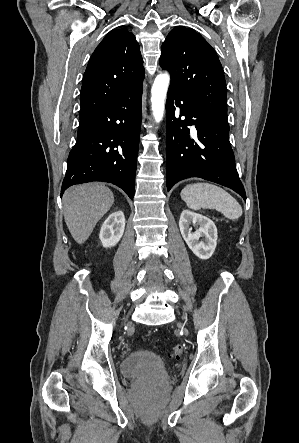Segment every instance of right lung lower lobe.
I'll return each mask as SVG.
<instances>
[{
    "label": "right lung lower lobe",
    "instance_id": "98d812e1",
    "mask_svg": "<svg viewBox=\"0 0 299 443\" xmlns=\"http://www.w3.org/2000/svg\"><path fill=\"white\" fill-rule=\"evenodd\" d=\"M143 85L80 120L61 196L68 187L109 182L132 199L141 126Z\"/></svg>",
    "mask_w": 299,
    "mask_h": 443
}]
</instances>
